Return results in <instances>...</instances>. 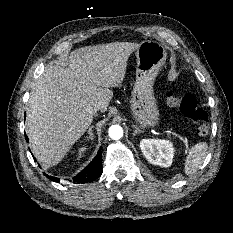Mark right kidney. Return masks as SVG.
I'll return each instance as SVG.
<instances>
[{"instance_id": "right-kidney-1", "label": "right kidney", "mask_w": 233, "mask_h": 233, "mask_svg": "<svg viewBox=\"0 0 233 233\" xmlns=\"http://www.w3.org/2000/svg\"><path fill=\"white\" fill-rule=\"evenodd\" d=\"M86 150L85 147H81L78 149V154L81 155Z\"/></svg>"}]
</instances>
